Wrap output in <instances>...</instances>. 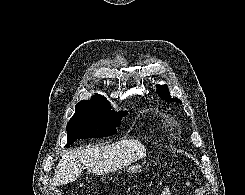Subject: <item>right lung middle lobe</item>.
<instances>
[{"label": "right lung middle lobe", "mask_w": 245, "mask_h": 195, "mask_svg": "<svg viewBox=\"0 0 245 195\" xmlns=\"http://www.w3.org/2000/svg\"><path fill=\"white\" fill-rule=\"evenodd\" d=\"M126 112H115L109 103L84 100L75 106V114L67 124V145L77 139L98 138L116 133L121 125V117Z\"/></svg>", "instance_id": "obj_1"}]
</instances>
